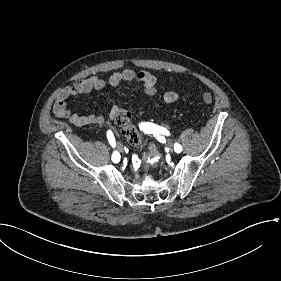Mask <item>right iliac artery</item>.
Returning a JSON list of instances; mask_svg holds the SVG:
<instances>
[{
  "label": "right iliac artery",
  "mask_w": 281,
  "mask_h": 281,
  "mask_svg": "<svg viewBox=\"0 0 281 281\" xmlns=\"http://www.w3.org/2000/svg\"><path fill=\"white\" fill-rule=\"evenodd\" d=\"M107 138L109 140V143L114 147L115 146V139H114V136H113V134L110 130L107 132ZM119 160H120V154L116 151L113 152L112 161L114 163H117V162H119Z\"/></svg>",
  "instance_id": "1"
}]
</instances>
